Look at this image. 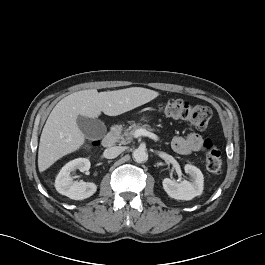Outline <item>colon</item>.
I'll return each instance as SVG.
<instances>
[{
  "label": "colon",
  "mask_w": 265,
  "mask_h": 265,
  "mask_svg": "<svg viewBox=\"0 0 265 265\" xmlns=\"http://www.w3.org/2000/svg\"><path fill=\"white\" fill-rule=\"evenodd\" d=\"M160 111L167 117L184 120L203 129L208 126L212 118V111L207 106L191 105L182 100H169L160 105ZM206 168L210 173L216 174L221 170L222 159L219 146L214 141H205Z\"/></svg>",
  "instance_id": "obj_1"
}]
</instances>
